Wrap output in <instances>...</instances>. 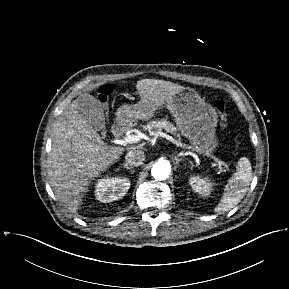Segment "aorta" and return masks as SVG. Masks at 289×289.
<instances>
[{
	"mask_svg": "<svg viewBox=\"0 0 289 289\" xmlns=\"http://www.w3.org/2000/svg\"><path fill=\"white\" fill-rule=\"evenodd\" d=\"M171 172L170 163L167 160H158L151 169V175L157 180L166 179Z\"/></svg>",
	"mask_w": 289,
	"mask_h": 289,
	"instance_id": "aorta-1",
	"label": "aorta"
}]
</instances>
